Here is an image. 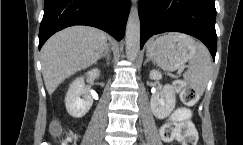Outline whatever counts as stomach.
<instances>
[{"label":"stomach","instance_id":"obj_1","mask_svg":"<svg viewBox=\"0 0 243 145\" xmlns=\"http://www.w3.org/2000/svg\"><path fill=\"white\" fill-rule=\"evenodd\" d=\"M196 54L195 42L189 36L168 33L148 43L147 55L162 69L181 68Z\"/></svg>","mask_w":243,"mask_h":145}]
</instances>
